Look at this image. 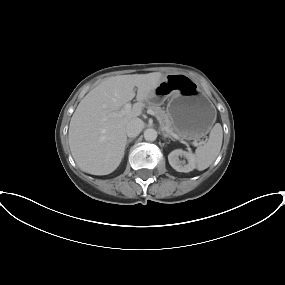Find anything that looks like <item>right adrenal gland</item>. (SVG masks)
Listing matches in <instances>:
<instances>
[{"label": "right adrenal gland", "instance_id": "right-adrenal-gland-1", "mask_svg": "<svg viewBox=\"0 0 285 285\" xmlns=\"http://www.w3.org/2000/svg\"><path fill=\"white\" fill-rule=\"evenodd\" d=\"M133 140H134V138L128 139L127 142H126V145L128 146V144H129L130 142H132Z\"/></svg>", "mask_w": 285, "mask_h": 285}]
</instances>
